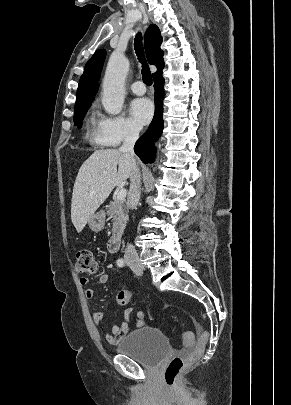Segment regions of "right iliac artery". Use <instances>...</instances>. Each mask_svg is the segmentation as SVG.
<instances>
[{
  "label": "right iliac artery",
  "instance_id": "right-iliac-artery-1",
  "mask_svg": "<svg viewBox=\"0 0 291 405\" xmlns=\"http://www.w3.org/2000/svg\"><path fill=\"white\" fill-rule=\"evenodd\" d=\"M117 265H118L119 267H123V266L125 265V261H124L123 259H118V260H117Z\"/></svg>",
  "mask_w": 291,
  "mask_h": 405
}]
</instances>
